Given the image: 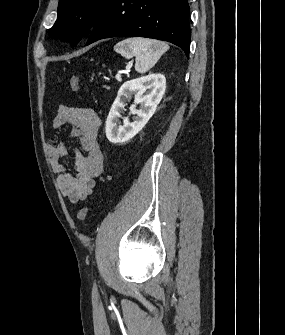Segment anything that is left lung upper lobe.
<instances>
[{
    "instance_id": "obj_1",
    "label": "left lung upper lobe",
    "mask_w": 285,
    "mask_h": 335,
    "mask_svg": "<svg viewBox=\"0 0 285 335\" xmlns=\"http://www.w3.org/2000/svg\"><path fill=\"white\" fill-rule=\"evenodd\" d=\"M112 0H59L58 17L49 33L62 40H70L72 46L96 24Z\"/></svg>"
}]
</instances>
